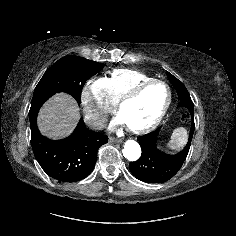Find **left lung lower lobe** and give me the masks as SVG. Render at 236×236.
I'll list each match as a JSON object with an SVG mask.
<instances>
[{"label":"left lung lower lobe","instance_id":"0a47b994","mask_svg":"<svg viewBox=\"0 0 236 236\" xmlns=\"http://www.w3.org/2000/svg\"><path fill=\"white\" fill-rule=\"evenodd\" d=\"M179 107L189 110L192 118V125L188 142L184 149L178 154H167L157 147V137L159 129L140 136L137 141L141 146V157L134 162H130L129 169L132 174L141 181L149 183H163L171 179L182 167L191 145L194 133V104L192 100H180Z\"/></svg>","mask_w":236,"mask_h":236}]
</instances>
